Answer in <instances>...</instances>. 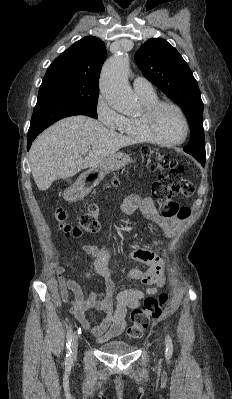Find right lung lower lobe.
Here are the masks:
<instances>
[{
	"instance_id": "right-lung-lower-lobe-1",
	"label": "right lung lower lobe",
	"mask_w": 232,
	"mask_h": 399,
	"mask_svg": "<svg viewBox=\"0 0 232 399\" xmlns=\"http://www.w3.org/2000/svg\"><path fill=\"white\" fill-rule=\"evenodd\" d=\"M75 115H87L96 119L95 116L74 104L55 99L38 98L28 130L27 150L30 149L34 139L47 127L62 118Z\"/></svg>"
}]
</instances>
